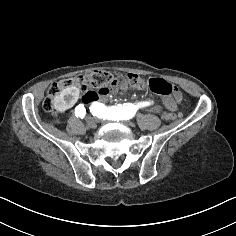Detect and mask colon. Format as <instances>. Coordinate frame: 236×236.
<instances>
[{
  "instance_id": "1",
  "label": "colon",
  "mask_w": 236,
  "mask_h": 236,
  "mask_svg": "<svg viewBox=\"0 0 236 236\" xmlns=\"http://www.w3.org/2000/svg\"><path fill=\"white\" fill-rule=\"evenodd\" d=\"M144 80L133 73L114 76L106 71H89L75 78L65 79L52 84L48 89V94L43 101L45 111L55 113L54 98L64 88L76 86L82 90V100L90 103L101 96H105L111 89L126 90L129 88H142ZM149 89L162 96H170L173 99L180 97L178 89L163 79L152 78L148 81ZM162 118L166 121H173L176 115L171 112H164Z\"/></svg>"
}]
</instances>
